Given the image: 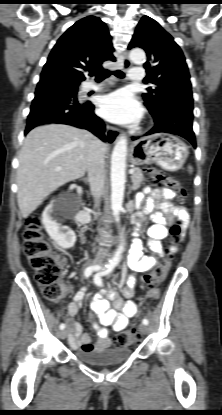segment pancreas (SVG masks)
Listing matches in <instances>:
<instances>
[{"label":"pancreas","mask_w":222,"mask_h":415,"mask_svg":"<svg viewBox=\"0 0 222 415\" xmlns=\"http://www.w3.org/2000/svg\"><path fill=\"white\" fill-rule=\"evenodd\" d=\"M131 180L133 183L132 189L133 190L139 189L144 180L143 172L140 168L138 167L134 168V173L131 175Z\"/></svg>","instance_id":"1"}]
</instances>
